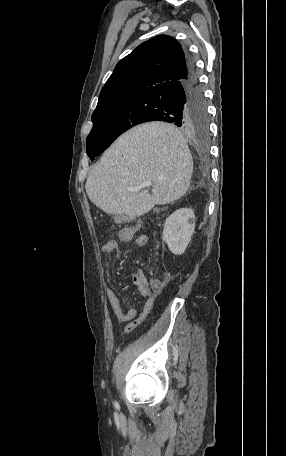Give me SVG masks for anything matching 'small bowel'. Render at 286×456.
<instances>
[{"label":"small bowel","instance_id":"obj_1","mask_svg":"<svg viewBox=\"0 0 286 456\" xmlns=\"http://www.w3.org/2000/svg\"><path fill=\"white\" fill-rule=\"evenodd\" d=\"M119 240L122 242H128L132 239L133 235H127L125 233V228L120 230L118 233ZM148 243V236L146 234H140L135 238V245L138 248H143ZM119 250V243L116 240H107L103 243L101 251L104 255H111L116 253ZM132 282L137 288L138 294L144 298V304L142 311L137 315V309L131 307L128 310H125L120 302V299L117 293L113 289L106 290L107 300L115 313L117 319L121 322H129L125 328V333H130L133 331L146 317L150 314L153 304H154V293L146 280V278L141 273H133Z\"/></svg>","mask_w":286,"mask_h":456}]
</instances>
